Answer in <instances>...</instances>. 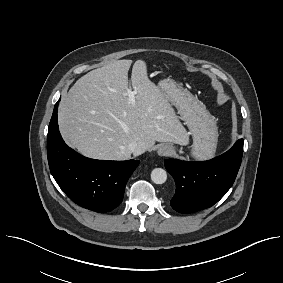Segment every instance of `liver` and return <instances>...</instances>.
I'll list each match as a JSON object with an SVG mask.
<instances>
[{
  "mask_svg": "<svg viewBox=\"0 0 283 283\" xmlns=\"http://www.w3.org/2000/svg\"><path fill=\"white\" fill-rule=\"evenodd\" d=\"M132 60H117L88 72L62 96L59 129L64 140L86 157L128 160V145L137 142L145 151L155 142L187 145L189 137L161 89L147 76L146 63L132 68L131 104L127 91Z\"/></svg>",
  "mask_w": 283,
  "mask_h": 283,
  "instance_id": "liver-1",
  "label": "liver"
}]
</instances>
